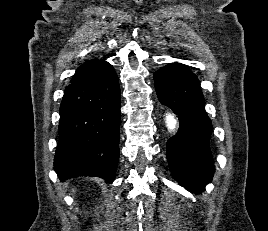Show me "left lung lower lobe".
<instances>
[{
    "label": "left lung lower lobe",
    "instance_id": "0a47b994",
    "mask_svg": "<svg viewBox=\"0 0 268 231\" xmlns=\"http://www.w3.org/2000/svg\"><path fill=\"white\" fill-rule=\"evenodd\" d=\"M154 81L159 101L179 119L177 134L167 142L172 174L188 191L199 193L211 182L215 167L210 149L212 124L198 78L186 65L172 63L156 71Z\"/></svg>",
    "mask_w": 268,
    "mask_h": 231
}]
</instances>
